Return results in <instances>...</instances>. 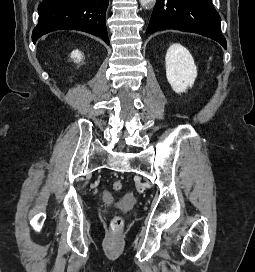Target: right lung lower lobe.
<instances>
[{
	"mask_svg": "<svg viewBox=\"0 0 255 272\" xmlns=\"http://www.w3.org/2000/svg\"><path fill=\"white\" fill-rule=\"evenodd\" d=\"M108 4L109 0H43L32 41L56 30H80L101 37L109 45L105 21Z\"/></svg>",
	"mask_w": 255,
	"mask_h": 272,
	"instance_id": "98d812e1",
	"label": "right lung lower lobe"
}]
</instances>
